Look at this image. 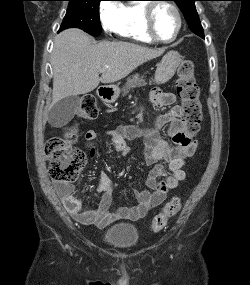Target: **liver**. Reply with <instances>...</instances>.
I'll return each instance as SVG.
<instances>
[{
	"label": "liver",
	"mask_w": 250,
	"mask_h": 285,
	"mask_svg": "<svg viewBox=\"0 0 250 285\" xmlns=\"http://www.w3.org/2000/svg\"><path fill=\"white\" fill-rule=\"evenodd\" d=\"M164 49H151L129 42L95 40L84 31L71 28L56 36L51 55L52 103L93 91L100 82L123 79L146 61L159 57ZM108 67L102 76L100 70Z\"/></svg>",
	"instance_id": "obj_1"
}]
</instances>
